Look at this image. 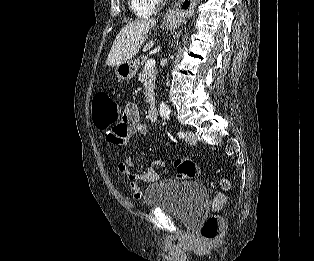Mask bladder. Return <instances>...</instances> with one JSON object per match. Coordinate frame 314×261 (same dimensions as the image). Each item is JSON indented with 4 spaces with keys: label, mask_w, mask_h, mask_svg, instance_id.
I'll list each match as a JSON object with an SVG mask.
<instances>
[{
    "label": "bladder",
    "mask_w": 314,
    "mask_h": 261,
    "mask_svg": "<svg viewBox=\"0 0 314 261\" xmlns=\"http://www.w3.org/2000/svg\"><path fill=\"white\" fill-rule=\"evenodd\" d=\"M144 202L149 208L164 210L183 223L194 225L205 212L208 192L199 182L162 180L147 189Z\"/></svg>",
    "instance_id": "31cf9c89"
}]
</instances>
